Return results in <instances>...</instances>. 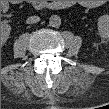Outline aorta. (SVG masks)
Wrapping results in <instances>:
<instances>
[{
    "mask_svg": "<svg viewBox=\"0 0 109 109\" xmlns=\"http://www.w3.org/2000/svg\"><path fill=\"white\" fill-rule=\"evenodd\" d=\"M49 24L52 27H59L60 24H61V18H60V16H58V15H52L49 18Z\"/></svg>",
    "mask_w": 109,
    "mask_h": 109,
    "instance_id": "1",
    "label": "aorta"
}]
</instances>
